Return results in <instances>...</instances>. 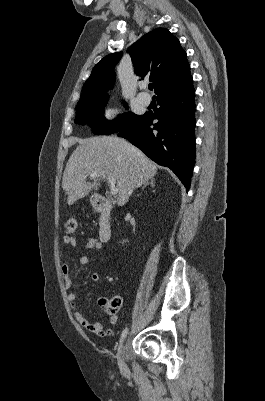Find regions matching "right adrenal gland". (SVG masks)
Returning a JSON list of instances; mask_svg holds the SVG:
<instances>
[{
	"mask_svg": "<svg viewBox=\"0 0 265 401\" xmlns=\"http://www.w3.org/2000/svg\"><path fill=\"white\" fill-rule=\"evenodd\" d=\"M154 182H155L154 178H151L150 182H144V184L142 186V190H143V188H145V186H147V184H151V186H155Z\"/></svg>",
	"mask_w": 265,
	"mask_h": 401,
	"instance_id": "1",
	"label": "right adrenal gland"
}]
</instances>
